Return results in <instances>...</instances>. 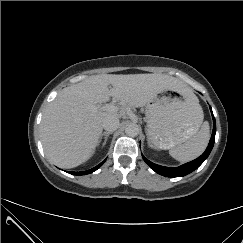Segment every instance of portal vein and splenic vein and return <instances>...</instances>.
Here are the masks:
<instances>
[{
    "mask_svg": "<svg viewBox=\"0 0 243 243\" xmlns=\"http://www.w3.org/2000/svg\"><path fill=\"white\" fill-rule=\"evenodd\" d=\"M99 109H100V110H103V111H109V112H115V111H118V107L115 106L113 103L106 104V105L100 107Z\"/></svg>",
    "mask_w": 243,
    "mask_h": 243,
    "instance_id": "obj_1",
    "label": "portal vein and splenic vein"
}]
</instances>
